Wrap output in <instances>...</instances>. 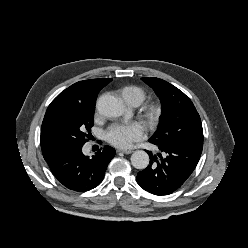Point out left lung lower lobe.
Segmentation results:
<instances>
[{"mask_svg":"<svg viewBox=\"0 0 248 248\" xmlns=\"http://www.w3.org/2000/svg\"><path fill=\"white\" fill-rule=\"evenodd\" d=\"M155 145L162 155L159 153L157 158L147 151L150 165L138 172L137 183L152 194L169 195L192 174L200 159L202 147L181 143Z\"/></svg>","mask_w":248,"mask_h":248,"instance_id":"obj_1","label":"left lung lower lobe"}]
</instances>
